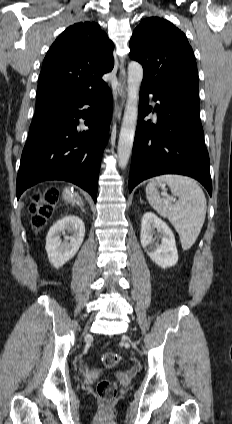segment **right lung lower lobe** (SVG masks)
<instances>
[{"mask_svg": "<svg viewBox=\"0 0 232 424\" xmlns=\"http://www.w3.org/2000/svg\"><path fill=\"white\" fill-rule=\"evenodd\" d=\"M91 105L88 116L81 108ZM112 115L109 88L76 102H54L36 107L17 175V198L46 180H66L97 199L98 175ZM88 131L78 133L79 118Z\"/></svg>", "mask_w": 232, "mask_h": 424, "instance_id": "98d812e1", "label": "right lung lower lobe"}]
</instances>
